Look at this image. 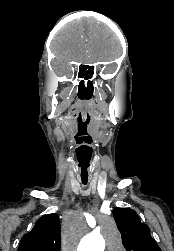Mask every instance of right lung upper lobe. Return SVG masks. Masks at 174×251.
<instances>
[{
  "label": "right lung upper lobe",
  "instance_id": "right-lung-upper-lobe-1",
  "mask_svg": "<svg viewBox=\"0 0 174 251\" xmlns=\"http://www.w3.org/2000/svg\"><path fill=\"white\" fill-rule=\"evenodd\" d=\"M17 251H60V220L54 213L41 217L26 233Z\"/></svg>",
  "mask_w": 174,
  "mask_h": 251
}]
</instances>
